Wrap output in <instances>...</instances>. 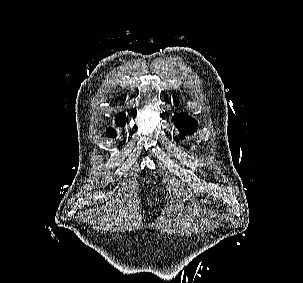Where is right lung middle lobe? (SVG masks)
<instances>
[{"instance_id": "obj_1", "label": "right lung middle lobe", "mask_w": 303, "mask_h": 283, "mask_svg": "<svg viewBox=\"0 0 303 283\" xmlns=\"http://www.w3.org/2000/svg\"><path fill=\"white\" fill-rule=\"evenodd\" d=\"M110 137L115 136V134H109Z\"/></svg>"}]
</instances>
